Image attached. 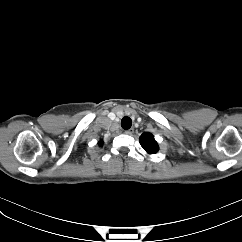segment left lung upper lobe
Here are the masks:
<instances>
[{"mask_svg": "<svg viewBox=\"0 0 242 242\" xmlns=\"http://www.w3.org/2000/svg\"><path fill=\"white\" fill-rule=\"evenodd\" d=\"M140 144L144 150L150 154H155L158 152L159 147L157 142L154 139V136L151 133H143L140 136Z\"/></svg>", "mask_w": 242, "mask_h": 242, "instance_id": "left-lung-upper-lobe-1", "label": "left lung upper lobe"}]
</instances>
